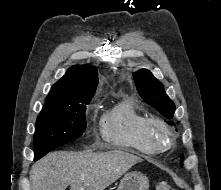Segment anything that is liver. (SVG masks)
<instances>
[{
    "label": "liver",
    "mask_w": 221,
    "mask_h": 190,
    "mask_svg": "<svg viewBox=\"0 0 221 190\" xmlns=\"http://www.w3.org/2000/svg\"><path fill=\"white\" fill-rule=\"evenodd\" d=\"M139 162L140 157L122 150L51 152L32 165V190H105Z\"/></svg>",
    "instance_id": "obj_1"
}]
</instances>
